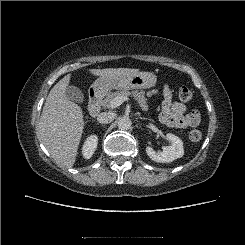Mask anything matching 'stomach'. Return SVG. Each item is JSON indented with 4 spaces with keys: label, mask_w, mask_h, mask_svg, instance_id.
Segmentation results:
<instances>
[{
    "label": "stomach",
    "mask_w": 245,
    "mask_h": 245,
    "mask_svg": "<svg viewBox=\"0 0 245 245\" xmlns=\"http://www.w3.org/2000/svg\"><path fill=\"white\" fill-rule=\"evenodd\" d=\"M157 77L151 72H137L122 77H99L92 88L99 94H105L112 89H149L156 85Z\"/></svg>",
    "instance_id": "obj_1"
}]
</instances>
